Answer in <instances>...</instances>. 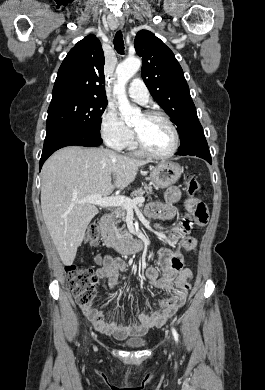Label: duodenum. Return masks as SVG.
Listing matches in <instances>:
<instances>
[{"mask_svg":"<svg viewBox=\"0 0 265 390\" xmlns=\"http://www.w3.org/2000/svg\"><path fill=\"white\" fill-rule=\"evenodd\" d=\"M113 222L112 214H105L100 220V229L105 247L117 250L120 253L137 252L143 247V242L140 238H136L130 242H125L117 237L111 230Z\"/></svg>","mask_w":265,"mask_h":390,"instance_id":"1","label":"duodenum"}]
</instances>
